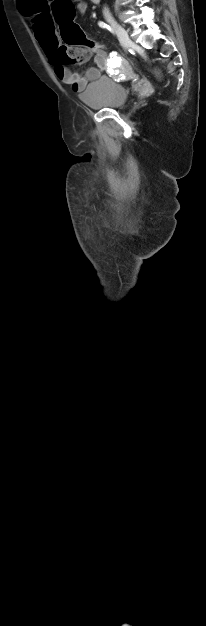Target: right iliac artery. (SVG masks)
Wrapping results in <instances>:
<instances>
[{"label": "right iliac artery", "mask_w": 206, "mask_h": 626, "mask_svg": "<svg viewBox=\"0 0 206 626\" xmlns=\"http://www.w3.org/2000/svg\"><path fill=\"white\" fill-rule=\"evenodd\" d=\"M98 25H99L101 28H105V29H108V30H109V31H111V32H114V29H113V28H111L109 25H107V24H106L105 22H103V21H99V22H98Z\"/></svg>", "instance_id": "82829eb1"}]
</instances>
